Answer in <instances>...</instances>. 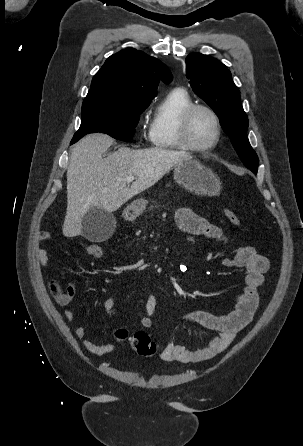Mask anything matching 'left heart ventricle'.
I'll use <instances>...</instances> for the list:
<instances>
[{"label":"left heart ventricle","mask_w":303,"mask_h":446,"mask_svg":"<svg viewBox=\"0 0 303 446\" xmlns=\"http://www.w3.org/2000/svg\"><path fill=\"white\" fill-rule=\"evenodd\" d=\"M216 135V129L211 116L204 110H197L190 119L189 136L197 146L210 145Z\"/></svg>","instance_id":"1"}]
</instances>
